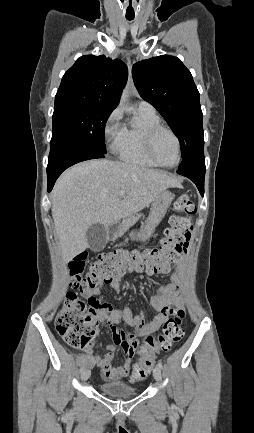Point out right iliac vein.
Here are the masks:
<instances>
[{
	"mask_svg": "<svg viewBox=\"0 0 254 433\" xmlns=\"http://www.w3.org/2000/svg\"><path fill=\"white\" fill-rule=\"evenodd\" d=\"M89 377H90V370L89 369H84L81 372V380L82 381H86V380H88Z\"/></svg>",
	"mask_w": 254,
	"mask_h": 433,
	"instance_id": "63e3f726",
	"label": "right iliac vein"
}]
</instances>
